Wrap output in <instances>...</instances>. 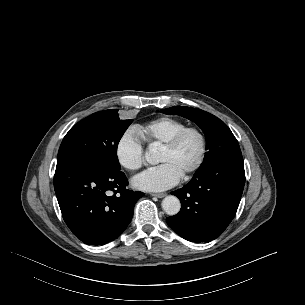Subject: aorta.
I'll use <instances>...</instances> for the list:
<instances>
[{
	"label": "aorta",
	"instance_id": "obj_1",
	"mask_svg": "<svg viewBox=\"0 0 305 305\" xmlns=\"http://www.w3.org/2000/svg\"><path fill=\"white\" fill-rule=\"evenodd\" d=\"M147 162L156 164L158 162V153L154 150L145 153ZM162 208L166 214L173 216L176 215L181 208L180 200L176 196H167L162 201Z\"/></svg>",
	"mask_w": 305,
	"mask_h": 305
}]
</instances>
